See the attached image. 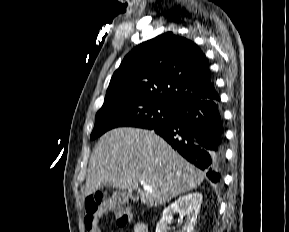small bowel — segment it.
<instances>
[{"instance_id": "obj_1", "label": "small bowel", "mask_w": 289, "mask_h": 232, "mask_svg": "<svg viewBox=\"0 0 289 232\" xmlns=\"http://www.w3.org/2000/svg\"><path fill=\"white\" fill-rule=\"evenodd\" d=\"M131 232H148V228L144 223H135L131 229Z\"/></svg>"}]
</instances>
